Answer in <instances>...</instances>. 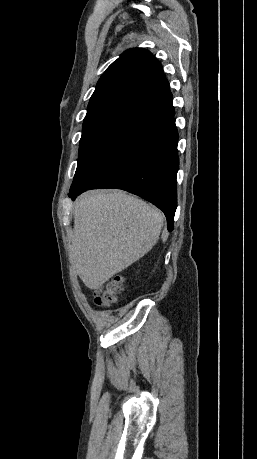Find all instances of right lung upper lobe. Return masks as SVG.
<instances>
[{"mask_svg":"<svg viewBox=\"0 0 257 459\" xmlns=\"http://www.w3.org/2000/svg\"><path fill=\"white\" fill-rule=\"evenodd\" d=\"M169 92L160 62L146 49H129L99 79L87 114L110 108L139 112Z\"/></svg>","mask_w":257,"mask_h":459,"instance_id":"right-lung-upper-lobe-1","label":"right lung upper lobe"}]
</instances>
